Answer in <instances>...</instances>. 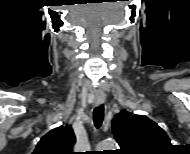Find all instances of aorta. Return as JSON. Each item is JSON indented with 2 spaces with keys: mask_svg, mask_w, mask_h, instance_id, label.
<instances>
[{
  "mask_svg": "<svg viewBox=\"0 0 190 154\" xmlns=\"http://www.w3.org/2000/svg\"><path fill=\"white\" fill-rule=\"evenodd\" d=\"M117 142L114 139H107L102 141L98 145V149L103 150H115L117 148Z\"/></svg>",
  "mask_w": 190,
  "mask_h": 154,
  "instance_id": "obj_1",
  "label": "aorta"
}]
</instances>
